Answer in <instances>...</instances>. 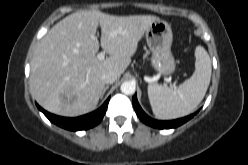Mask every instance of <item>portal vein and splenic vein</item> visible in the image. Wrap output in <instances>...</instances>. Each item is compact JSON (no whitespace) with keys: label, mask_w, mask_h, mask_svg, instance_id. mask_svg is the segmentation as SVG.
<instances>
[{"label":"portal vein and splenic vein","mask_w":248,"mask_h":165,"mask_svg":"<svg viewBox=\"0 0 248 165\" xmlns=\"http://www.w3.org/2000/svg\"><path fill=\"white\" fill-rule=\"evenodd\" d=\"M111 36L114 35V33H111L110 34ZM97 58L100 60V61H103L105 59V53L104 52H100L97 54Z\"/></svg>","instance_id":"portal-vein-and-splenic-vein-1"}]
</instances>
